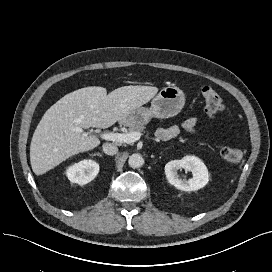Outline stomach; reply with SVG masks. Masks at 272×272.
Listing matches in <instances>:
<instances>
[{
  "label": "stomach",
  "mask_w": 272,
  "mask_h": 272,
  "mask_svg": "<svg viewBox=\"0 0 272 272\" xmlns=\"http://www.w3.org/2000/svg\"><path fill=\"white\" fill-rule=\"evenodd\" d=\"M184 104V92L176 86H167L153 97L150 108L134 109L123 123L127 126L146 125L153 117L170 118L180 113Z\"/></svg>",
  "instance_id": "0dacf381"
}]
</instances>
